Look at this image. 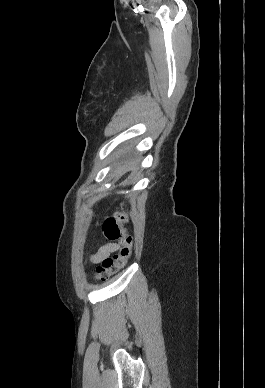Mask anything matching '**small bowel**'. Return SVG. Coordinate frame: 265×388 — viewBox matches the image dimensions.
<instances>
[{
    "mask_svg": "<svg viewBox=\"0 0 265 388\" xmlns=\"http://www.w3.org/2000/svg\"><path fill=\"white\" fill-rule=\"evenodd\" d=\"M119 248V245L116 243H108L91 256V261L94 263H99L106 257H109V255L115 251H117Z\"/></svg>",
    "mask_w": 265,
    "mask_h": 388,
    "instance_id": "1",
    "label": "small bowel"
}]
</instances>
